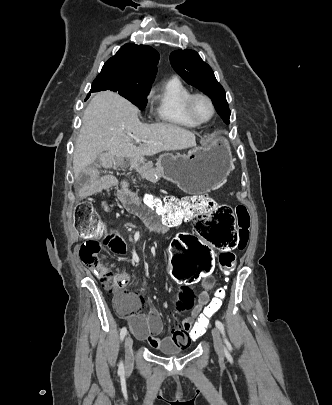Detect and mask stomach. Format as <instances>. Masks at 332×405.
Segmentation results:
<instances>
[{
  "instance_id": "0dacf381",
  "label": "stomach",
  "mask_w": 332,
  "mask_h": 405,
  "mask_svg": "<svg viewBox=\"0 0 332 405\" xmlns=\"http://www.w3.org/2000/svg\"><path fill=\"white\" fill-rule=\"evenodd\" d=\"M231 150L225 141L211 148H195L188 154L164 153L156 171L188 194H203L218 187L232 168Z\"/></svg>"
}]
</instances>
